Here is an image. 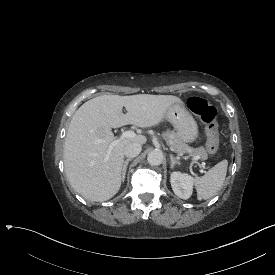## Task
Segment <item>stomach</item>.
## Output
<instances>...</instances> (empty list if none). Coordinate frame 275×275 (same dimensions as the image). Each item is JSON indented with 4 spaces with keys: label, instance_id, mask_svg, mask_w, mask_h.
Wrapping results in <instances>:
<instances>
[{
    "label": "stomach",
    "instance_id": "1",
    "mask_svg": "<svg viewBox=\"0 0 275 275\" xmlns=\"http://www.w3.org/2000/svg\"><path fill=\"white\" fill-rule=\"evenodd\" d=\"M164 117L172 123L178 137L184 143H190L197 139L198 125L183 104L173 103L168 107Z\"/></svg>",
    "mask_w": 275,
    "mask_h": 275
}]
</instances>
